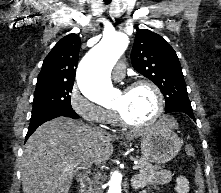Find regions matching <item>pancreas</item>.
<instances>
[{"instance_id":"pancreas-1","label":"pancreas","mask_w":221,"mask_h":193,"mask_svg":"<svg viewBox=\"0 0 221 193\" xmlns=\"http://www.w3.org/2000/svg\"><path fill=\"white\" fill-rule=\"evenodd\" d=\"M136 160L138 161V169L140 174L143 175H150L156 172L157 170L161 169L160 165H153L144 158L137 157Z\"/></svg>"}]
</instances>
